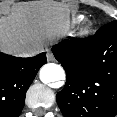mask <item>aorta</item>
Returning <instances> with one entry per match:
<instances>
[{"label":"aorta","mask_w":117,"mask_h":117,"mask_svg":"<svg viewBox=\"0 0 117 117\" xmlns=\"http://www.w3.org/2000/svg\"><path fill=\"white\" fill-rule=\"evenodd\" d=\"M40 80L45 84L54 83L65 79L64 69L55 63L45 64L39 72Z\"/></svg>","instance_id":"obj_1"}]
</instances>
